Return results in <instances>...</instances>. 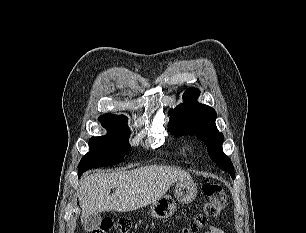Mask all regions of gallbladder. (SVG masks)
<instances>
[{"mask_svg":"<svg viewBox=\"0 0 306 233\" xmlns=\"http://www.w3.org/2000/svg\"><path fill=\"white\" fill-rule=\"evenodd\" d=\"M101 221L102 217L100 214L98 213L91 214L83 221L84 229L88 232H91L99 227Z\"/></svg>","mask_w":306,"mask_h":233,"instance_id":"1","label":"gallbladder"}]
</instances>
